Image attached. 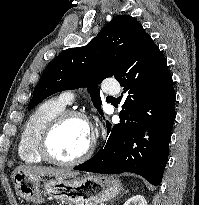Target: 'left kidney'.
<instances>
[{"instance_id":"5707ae66","label":"left kidney","mask_w":199,"mask_h":205,"mask_svg":"<svg viewBox=\"0 0 199 205\" xmlns=\"http://www.w3.org/2000/svg\"><path fill=\"white\" fill-rule=\"evenodd\" d=\"M124 205H147V202L142 195H135L129 198Z\"/></svg>"}]
</instances>
